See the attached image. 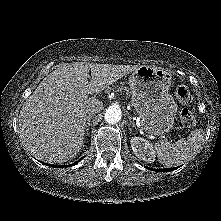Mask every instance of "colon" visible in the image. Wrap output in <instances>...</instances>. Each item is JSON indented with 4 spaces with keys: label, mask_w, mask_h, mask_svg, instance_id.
Returning a JSON list of instances; mask_svg holds the SVG:
<instances>
[{
    "label": "colon",
    "mask_w": 221,
    "mask_h": 221,
    "mask_svg": "<svg viewBox=\"0 0 221 221\" xmlns=\"http://www.w3.org/2000/svg\"><path fill=\"white\" fill-rule=\"evenodd\" d=\"M175 97L181 104H189L192 100L191 92L184 84L176 86ZM181 122L186 127H193L196 124V118L190 110L184 109L181 112Z\"/></svg>",
    "instance_id": "1"
}]
</instances>
